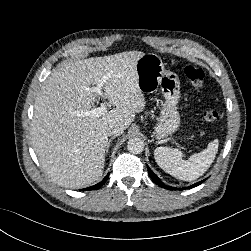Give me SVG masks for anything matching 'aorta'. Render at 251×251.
I'll use <instances>...</instances> for the list:
<instances>
[{
	"instance_id": "obj_1",
	"label": "aorta",
	"mask_w": 251,
	"mask_h": 251,
	"mask_svg": "<svg viewBox=\"0 0 251 251\" xmlns=\"http://www.w3.org/2000/svg\"><path fill=\"white\" fill-rule=\"evenodd\" d=\"M127 149L130 153L140 154L144 149V142L140 138H130L127 142Z\"/></svg>"
}]
</instances>
